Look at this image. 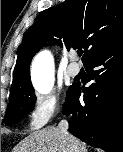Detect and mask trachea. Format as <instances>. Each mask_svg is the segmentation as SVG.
I'll use <instances>...</instances> for the list:
<instances>
[{"instance_id":"1","label":"trachea","mask_w":123,"mask_h":152,"mask_svg":"<svg viewBox=\"0 0 123 152\" xmlns=\"http://www.w3.org/2000/svg\"><path fill=\"white\" fill-rule=\"evenodd\" d=\"M82 53H83V51H81V50L77 52V54H78L79 56H81Z\"/></svg>"}]
</instances>
